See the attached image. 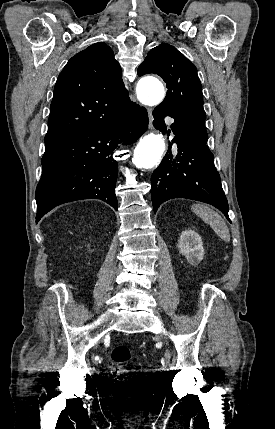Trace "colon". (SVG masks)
Returning <instances> with one entry per match:
<instances>
[{"mask_svg":"<svg viewBox=\"0 0 275 429\" xmlns=\"http://www.w3.org/2000/svg\"><path fill=\"white\" fill-rule=\"evenodd\" d=\"M131 357L130 350L127 346L119 345L115 347L110 354V362L115 367L114 374L117 378L123 379L127 373L122 369V365L129 361Z\"/></svg>","mask_w":275,"mask_h":429,"instance_id":"5ec220e1","label":"colon"}]
</instances>
